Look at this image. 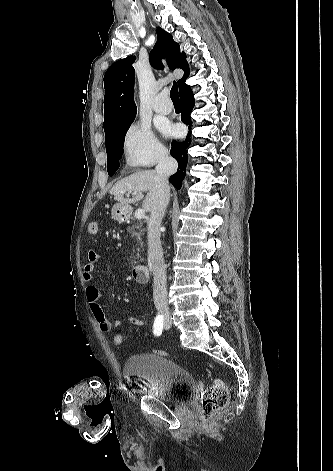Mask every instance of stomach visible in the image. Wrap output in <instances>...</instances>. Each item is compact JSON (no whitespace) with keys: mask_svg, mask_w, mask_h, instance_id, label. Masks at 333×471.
<instances>
[{"mask_svg":"<svg viewBox=\"0 0 333 471\" xmlns=\"http://www.w3.org/2000/svg\"><path fill=\"white\" fill-rule=\"evenodd\" d=\"M128 211V205L117 203L112 207L111 215L114 220L118 222H123L127 217Z\"/></svg>","mask_w":333,"mask_h":471,"instance_id":"obj_1","label":"stomach"}]
</instances>
